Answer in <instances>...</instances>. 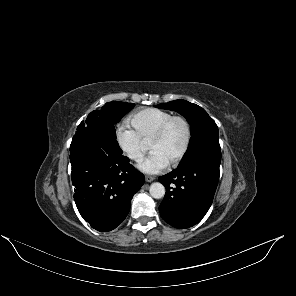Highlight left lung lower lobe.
I'll return each instance as SVG.
<instances>
[{
  "label": "left lung lower lobe",
  "instance_id": "1",
  "mask_svg": "<svg viewBox=\"0 0 296 296\" xmlns=\"http://www.w3.org/2000/svg\"><path fill=\"white\" fill-rule=\"evenodd\" d=\"M220 163L221 152L208 153L159 177L166 188L159 211L168 224L189 228L204 217L217 188Z\"/></svg>",
  "mask_w": 296,
  "mask_h": 296
}]
</instances>
